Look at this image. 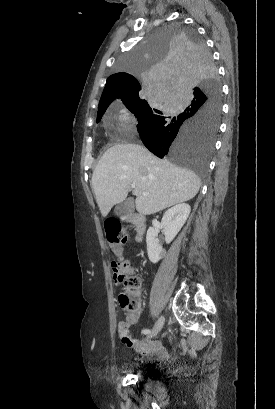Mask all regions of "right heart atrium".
Here are the masks:
<instances>
[{
  "label": "right heart atrium",
  "instance_id": "right-heart-atrium-1",
  "mask_svg": "<svg viewBox=\"0 0 275 409\" xmlns=\"http://www.w3.org/2000/svg\"><path fill=\"white\" fill-rule=\"evenodd\" d=\"M118 120L121 126L131 129L133 127L135 118L129 110L123 109L121 110L119 114ZM122 143H126V142H122Z\"/></svg>",
  "mask_w": 275,
  "mask_h": 409
}]
</instances>
